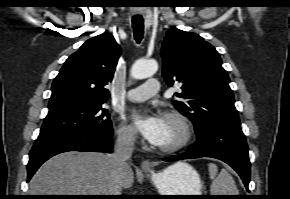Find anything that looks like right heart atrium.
<instances>
[{
  "label": "right heart atrium",
  "instance_id": "obj_1",
  "mask_svg": "<svg viewBox=\"0 0 290 199\" xmlns=\"http://www.w3.org/2000/svg\"><path fill=\"white\" fill-rule=\"evenodd\" d=\"M117 138L119 142L125 145H134L137 141V136L132 127L125 123H120L117 128Z\"/></svg>",
  "mask_w": 290,
  "mask_h": 199
}]
</instances>
